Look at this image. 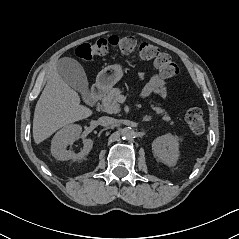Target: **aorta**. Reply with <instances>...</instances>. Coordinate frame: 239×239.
I'll return each instance as SVG.
<instances>
[{
  "instance_id": "762f6f07",
  "label": "aorta",
  "mask_w": 239,
  "mask_h": 239,
  "mask_svg": "<svg viewBox=\"0 0 239 239\" xmlns=\"http://www.w3.org/2000/svg\"><path fill=\"white\" fill-rule=\"evenodd\" d=\"M121 135L124 139H132L135 135V132L132 128L130 127H125L121 130Z\"/></svg>"
}]
</instances>
